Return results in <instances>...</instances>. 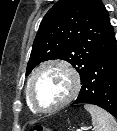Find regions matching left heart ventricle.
Returning a JSON list of instances; mask_svg holds the SVG:
<instances>
[{"label": "left heart ventricle", "mask_w": 117, "mask_h": 131, "mask_svg": "<svg viewBox=\"0 0 117 131\" xmlns=\"http://www.w3.org/2000/svg\"><path fill=\"white\" fill-rule=\"evenodd\" d=\"M71 79L61 68L42 70L34 80L32 91L37 104L44 109L54 107L70 92Z\"/></svg>", "instance_id": "1"}]
</instances>
